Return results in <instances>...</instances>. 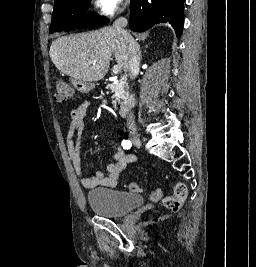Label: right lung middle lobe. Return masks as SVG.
<instances>
[{
    "instance_id": "dd1d6c3e",
    "label": "right lung middle lobe",
    "mask_w": 256,
    "mask_h": 267,
    "mask_svg": "<svg viewBox=\"0 0 256 267\" xmlns=\"http://www.w3.org/2000/svg\"><path fill=\"white\" fill-rule=\"evenodd\" d=\"M91 0H58L55 1L50 32L71 30L74 28H96L107 19L89 12L83 17Z\"/></svg>"
}]
</instances>
